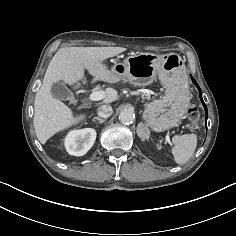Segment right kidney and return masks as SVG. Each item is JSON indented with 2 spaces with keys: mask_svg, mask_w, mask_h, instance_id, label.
<instances>
[{
  "mask_svg": "<svg viewBox=\"0 0 236 236\" xmlns=\"http://www.w3.org/2000/svg\"><path fill=\"white\" fill-rule=\"evenodd\" d=\"M96 140V131L92 128L73 130L65 137V148L70 155H85Z\"/></svg>",
  "mask_w": 236,
  "mask_h": 236,
  "instance_id": "1",
  "label": "right kidney"
}]
</instances>
